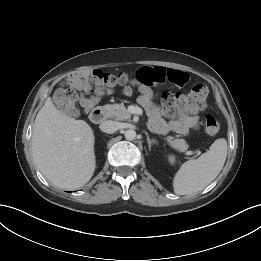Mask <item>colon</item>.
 I'll use <instances>...</instances> for the list:
<instances>
[{
	"label": "colon",
	"mask_w": 261,
	"mask_h": 261,
	"mask_svg": "<svg viewBox=\"0 0 261 261\" xmlns=\"http://www.w3.org/2000/svg\"><path fill=\"white\" fill-rule=\"evenodd\" d=\"M81 80L86 85L88 91L98 95L110 93L116 87L128 85L130 81L125 73L111 74L101 70H94L86 76H82ZM207 95L208 90L206 86L198 84L186 94L166 91L162 94L161 102L169 115L190 113L205 108ZM54 102L63 113L70 116L75 115L77 113L75 85L69 81L58 88L54 95ZM204 125L205 131L209 135L216 134L220 128L219 122L212 115L205 117Z\"/></svg>",
	"instance_id": "obj_1"
}]
</instances>
